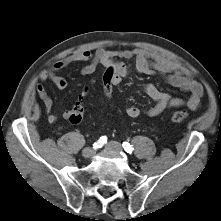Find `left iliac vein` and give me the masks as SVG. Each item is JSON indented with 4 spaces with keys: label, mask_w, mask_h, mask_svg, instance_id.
Masks as SVG:
<instances>
[{
    "label": "left iliac vein",
    "mask_w": 221,
    "mask_h": 221,
    "mask_svg": "<svg viewBox=\"0 0 221 221\" xmlns=\"http://www.w3.org/2000/svg\"><path fill=\"white\" fill-rule=\"evenodd\" d=\"M105 147L107 150L114 152V153H120L122 151L121 144L115 141L109 142Z\"/></svg>",
    "instance_id": "4c4485c4"
}]
</instances>
